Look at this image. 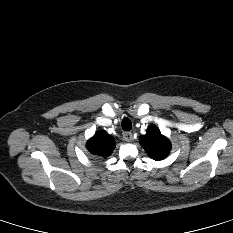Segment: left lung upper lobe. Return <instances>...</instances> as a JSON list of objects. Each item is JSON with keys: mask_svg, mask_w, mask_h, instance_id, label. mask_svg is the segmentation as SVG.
<instances>
[{"mask_svg": "<svg viewBox=\"0 0 233 233\" xmlns=\"http://www.w3.org/2000/svg\"><path fill=\"white\" fill-rule=\"evenodd\" d=\"M140 143L154 160L164 159L171 150L169 140L161 135L160 130L155 126L150 127L147 134L140 137Z\"/></svg>", "mask_w": 233, "mask_h": 233, "instance_id": "left-lung-upper-lobe-1", "label": "left lung upper lobe"}]
</instances>
